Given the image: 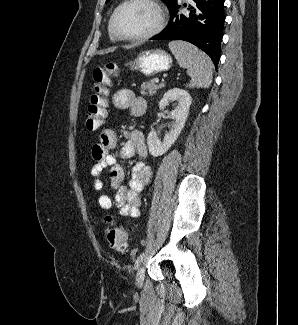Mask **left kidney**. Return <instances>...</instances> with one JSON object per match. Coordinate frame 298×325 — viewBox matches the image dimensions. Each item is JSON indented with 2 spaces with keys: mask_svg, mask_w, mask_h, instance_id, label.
<instances>
[{
  "mask_svg": "<svg viewBox=\"0 0 298 325\" xmlns=\"http://www.w3.org/2000/svg\"><path fill=\"white\" fill-rule=\"evenodd\" d=\"M172 100H176L175 108H173V110H169L168 112V116H170V118H174L172 128H170L169 132L164 134L163 140L158 138L155 130H150L147 136V144L149 152L152 154V156H161V154H164V152L170 148L171 144H174L188 116L190 104L192 102L189 92H187V90H183V88H176V86L175 88H170V90H167V92L163 94V98H160L158 102V110H164V108H166V106H168L169 102H172Z\"/></svg>",
  "mask_w": 298,
  "mask_h": 325,
  "instance_id": "1",
  "label": "left kidney"
}]
</instances>
